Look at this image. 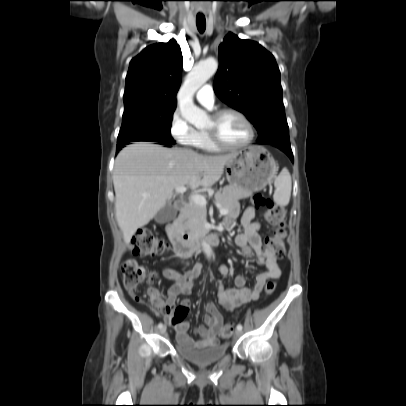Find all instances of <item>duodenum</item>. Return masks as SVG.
<instances>
[{
  "label": "duodenum",
  "instance_id": "duodenum-1",
  "mask_svg": "<svg viewBox=\"0 0 406 406\" xmlns=\"http://www.w3.org/2000/svg\"><path fill=\"white\" fill-rule=\"evenodd\" d=\"M175 208L178 212H183L186 203L182 200L175 202ZM168 238L173 249L182 257H188L204 245H218L220 235L218 232L202 231L196 235H188L180 232L178 222L172 221L166 227Z\"/></svg>",
  "mask_w": 406,
  "mask_h": 406
}]
</instances>
